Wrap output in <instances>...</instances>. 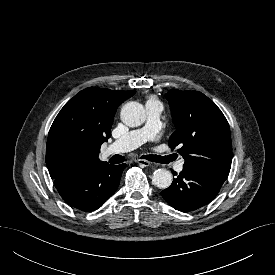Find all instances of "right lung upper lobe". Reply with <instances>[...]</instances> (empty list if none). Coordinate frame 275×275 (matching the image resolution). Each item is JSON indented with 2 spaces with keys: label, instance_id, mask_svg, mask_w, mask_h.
<instances>
[{
  "label": "right lung upper lobe",
  "instance_id": "1",
  "mask_svg": "<svg viewBox=\"0 0 275 275\" xmlns=\"http://www.w3.org/2000/svg\"><path fill=\"white\" fill-rule=\"evenodd\" d=\"M136 91L89 87L69 100L55 118L47 140L46 165L53 180L105 162L98 155L118 106Z\"/></svg>",
  "mask_w": 275,
  "mask_h": 275
}]
</instances>
